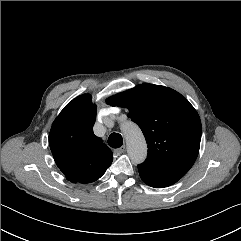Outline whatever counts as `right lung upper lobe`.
Returning <instances> with one entry per match:
<instances>
[{
    "label": "right lung upper lobe",
    "mask_w": 241,
    "mask_h": 241,
    "mask_svg": "<svg viewBox=\"0 0 241 241\" xmlns=\"http://www.w3.org/2000/svg\"><path fill=\"white\" fill-rule=\"evenodd\" d=\"M96 106L91 96L73 99L55 119L49 134L54 160L68 180L90 183L111 165L113 155L102 139L94 135Z\"/></svg>",
    "instance_id": "obj_1"
}]
</instances>
